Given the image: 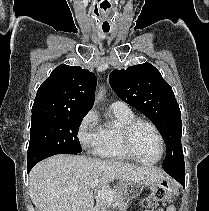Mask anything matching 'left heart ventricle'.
Returning a JSON list of instances; mask_svg holds the SVG:
<instances>
[{
  "label": "left heart ventricle",
  "instance_id": "1",
  "mask_svg": "<svg viewBox=\"0 0 209 211\" xmlns=\"http://www.w3.org/2000/svg\"><path fill=\"white\" fill-rule=\"evenodd\" d=\"M133 150L136 155L147 162L156 160L160 154V143L156 133L147 125H141L133 136Z\"/></svg>",
  "mask_w": 209,
  "mask_h": 211
}]
</instances>
